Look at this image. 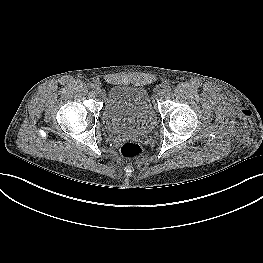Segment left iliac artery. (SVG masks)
<instances>
[{
    "instance_id": "left-iliac-artery-1",
    "label": "left iliac artery",
    "mask_w": 263,
    "mask_h": 263,
    "mask_svg": "<svg viewBox=\"0 0 263 263\" xmlns=\"http://www.w3.org/2000/svg\"><path fill=\"white\" fill-rule=\"evenodd\" d=\"M171 90V88L168 86L167 88H165L166 92H169Z\"/></svg>"
}]
</instances>
